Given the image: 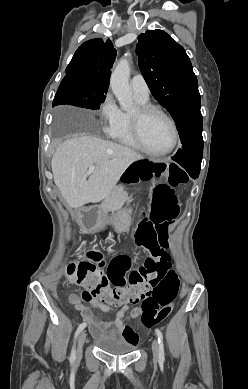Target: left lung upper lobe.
<instances>
[{"instance_id": "5c2ea615", "label": "left lung upper lobe", "mask_w": 248, "mask_h": 389, "mask_svg": "<svg viewBox=\"0 0 248 389\" xmlns=\"http://www.w3.org/2000/svg\"><path fill=\"white\" fill-rule=\"evenodd\" d=\"M139 67L152 95L176 121L188 107L200 104L196 75L184 48L163 30L138 36ZM181 143L187 139L180 137Z\"/></svg>"}]
</instances>
